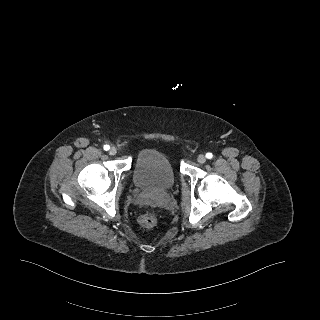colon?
<instances>
[{
	"mask_svg": "<svg viewBox=\"0 0 320 320\" xmlns=\"http://www.w3.org/2000/svg\"><path fill=\"white\" fill-rule=\"evenodd\" d=\"M138 223L143 227H153L157 223V216L153 213H146L139 217Z\"/></svg>",
	"mask_w": 320,
	"mask_h": 320,
	"instance_id": "colon-1",
	"label": "colon"
}]
</instances>
